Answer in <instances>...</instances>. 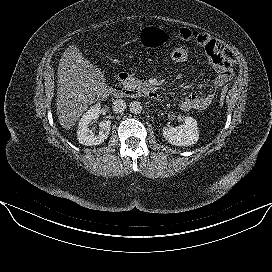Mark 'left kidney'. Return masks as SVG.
I'll list each match as a JSON object with an SVG mask.
<instances>
[{
  "label": "left kidney",
  "mask_w": 272,
  "mask_h": 272,
  "mask_svg": "<svg viewBox=\"0 0 272 272\" xmlns=\"http://www.w3.org/2000/svg\"><path fill=\"white\" fill-rule=\"evenodd\" d=\"M185 123L179 127H164L163 136L172 145L191 146L199 139L197 121L192 117H185Z\"/></svg>",
  "instance_id": "left-kidney-1"
}]
</instances>
